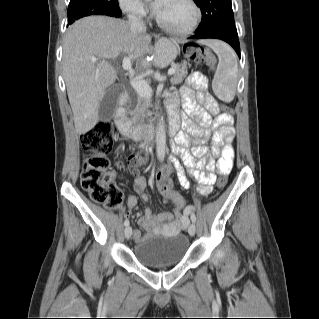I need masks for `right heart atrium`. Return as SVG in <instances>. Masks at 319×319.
<instances>
[{
	"mask_svg": "<svg viewBox=\"0 0 319 319\" xmlns=\"http://www.w3.org/2000/svg\"><path fill=\"white\" fill-rule=\"evenodd\" d=\"M118 2L122 10L128 14L145 17L148 13V9L140 0H118Z\"/></svg>",
	"mask_w": 319,
	"mask_h": 319,
	"instance_id": "d8ad5b80",
	"label": "right heart atrium"
}]
</instances>
